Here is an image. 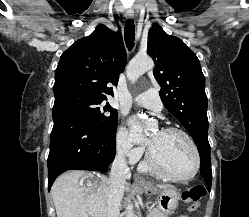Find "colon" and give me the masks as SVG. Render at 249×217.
I'll return each instance as SVG.
<instances>
[{"label":"colon","instance_id":"obj_1","mask_svg":"<svg viewBox=\"0 0 249 217\" xmlns=\"http://www.w3.org/2000/svg\"><path fill=\"white\" fill-rule=\"evenodd\" d=\"M205 195V189L202 186L190 187L183 193V199L188 203V210L197 211L199 200Z\"/></svg>","mask_w":249,"mask_h":217}]
</instances>
